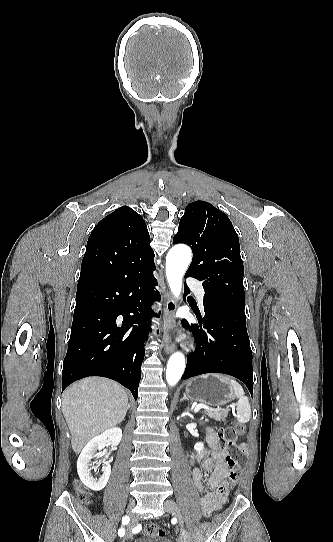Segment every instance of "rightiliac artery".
I'll list each match as a JSON object with an SVG mask.
<instances>
[{
    "mask_svg": "<svg viewBox=\"0 0 333 542\" xmlns=\"http://www.w3.org/2000/svg\"><path fill=\"white\" fill-rule=\"evenodd\" d=\"M128 522H129V517L128 516H125V517L122 518V524L125 525V524H128ZM124 534H125V530L123 528L119 529L118 535L119 536H124Z\"/></svg>",
    "mask_w": 333,
    "mask_h": 542,
    "instance_id": "1",
    "label": "right iliac artery"
}]
</instances>
